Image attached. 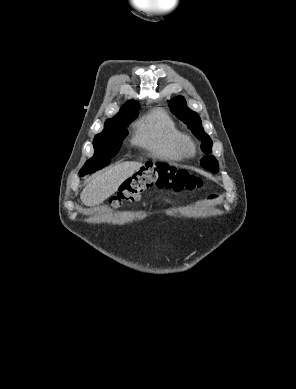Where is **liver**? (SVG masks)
Returning a JSON list of instances; mask_svg holds the SVG:
<instances>
[{"label":"liver","instance_id":"1","mask_svg":"<svg viewBox=\"0 0 296 389\" xmlns=\"http://www.w3.org/2000/svg\"><path fill=\"white\" fill-rule=\"evenodd\" d=\"M142 166L140 162H123L93 176L81 193L82 203L86 206L99 205L113 195L120 185Z\"/></svg>","mask_w":296,"mask_h":389}]
</instances>
